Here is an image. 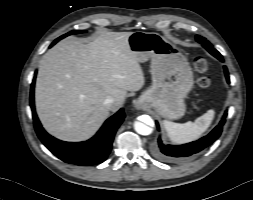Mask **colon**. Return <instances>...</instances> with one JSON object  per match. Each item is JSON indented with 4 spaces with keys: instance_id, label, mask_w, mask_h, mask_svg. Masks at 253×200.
<instances>
[{
    "instance_id": "5ec220e1",
    "label": "colon",
    "mask_w": 253,
    "mask_h": 200,
    "mask_svg": "<svg viewBox=\"0 0 253 200\" xmlns=\"http://www.w3.org/2000/svg\"><path fill=\"white\" fill-rule=\"evenodd\" d=\"M194 66L198 73L201 74L198 79V85L202 90H208L211 86V78L207 75L208 63L202 56H196Z\"/></svg>"
}]
</instances>
